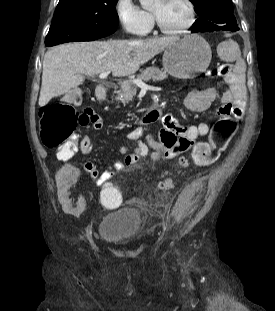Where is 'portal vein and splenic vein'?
I'll use <instances>...</instances> for the list:
<instances>
[{
    "label": "portal vein and splenic vein",
    "mask_w": 275,
    "mask_h": 311,
    "mask_svg": "<svg viewBox=\"0 0 275 311\" xmlns=\"http://www.w3.org/2000/svg\"><path fill=\"white\" fill-rule=\"evenodd\" d=\"M110 73V71H107V72H103V73H100L99 75V78L100 79H107L108 77V74ZM119 83L121 84H124V83H127V82H130V81H127V80H118ZM131 82L135 83L137 86H139L141 89H148L149 86L146 85L144 82H142L141 80H132Z\"/></svg>",
    "instance_id": "portal-vein-and-splenic-vein-1"
}]
</instances>
